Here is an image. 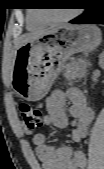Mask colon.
<instances>
[{
  "label": "colon",
  "instance_id": "obj_1",
  "mask_svg": "<svg viewBox=\"0 0 104 169\" xmlns=\"http://www.w3.org/2000/svg\"><path fill=\"white\" fill-rule=\"evenodd\" d=\"M19 114L29 133H36L42 125V111L37 107H33L27 103H22L19 106Z\"/></svg>",
  "mask_w": 104,
  "mask_h": 169
}]
</instances>
